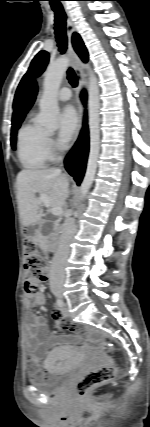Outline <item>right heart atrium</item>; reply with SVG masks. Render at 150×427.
Instances as JSON below:
<instances>
[{
	"mask_svg": "<svg viewBox=\"0 0 150 427\" xmlns=\"http://www.w3.org/2000/svg\"><path fill=\"white\" fill-rule=\"evenodd\" d=\"M47 146L50 151L55 150L57 148V145L51 138V136H47Z\"/></svg>",
	"mask_w": 150,
	"mask_h": 427,
	"instance_id": "1",
	"label": "right heart atrium"
}]
</instances>
